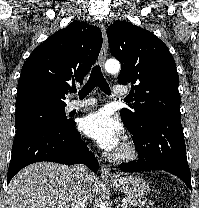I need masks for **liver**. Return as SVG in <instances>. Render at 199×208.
Here are the masks:
<instances>
[{"mask_svg": "<svg viewBox=\"0 0 199 208\" xmlns=\"http://www.w3.org/2000/svg\"><path fill=\"white\" fill-rule=\"evenodd\" d=\"M97 190L95 176L77 183L73 167L53 162L30 164L8 186L6 208H72L75 191L86 204Z\"/></svg>", "mask_w": 199, "mask_h": 208, "instance_id": "6515ba94", "label": "liver"}]
</instances>
